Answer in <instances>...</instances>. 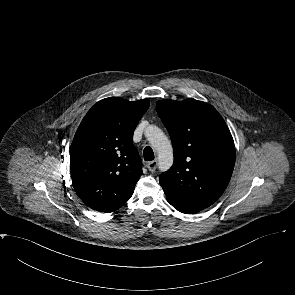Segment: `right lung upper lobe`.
<instances>
[{
    "label": "right lung upper lobe",
    "mask_w": 295,
    "mask_h": 295,
    "mask_svg": "<svg viewBox=\"0 0 295 295\" xmlns=\"http://www.w3.org/2000/svg\"><path fill=\"white\" fill-rule=\"evenodd\" d=\"M148 107V99L105 98L80 123L70 147L71 178L91 209L110 213L132 196L142 175L133 133Z\"/></svg>",
    "instance_id": "cb5924a9"
}]
</instances>
